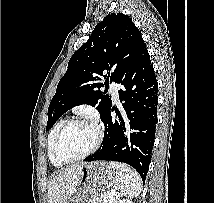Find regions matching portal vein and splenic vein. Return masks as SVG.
Segmentation results:
<instances>
[{"instance_id":"obj_1","label":"portal vein and splenic vein","mask_w":214,"mask_h":203,"mask_svg":"<svg viewBox=\"0 0 214 203\" xmlns=\"http://www.w3.org/2000/svg\"><path fill=\"white\" fill-rule=\"evenodd\" d=\"M116 196V192L115 191H111L109 194V198L113 199Z\"/></svg>"}]
</instances>
